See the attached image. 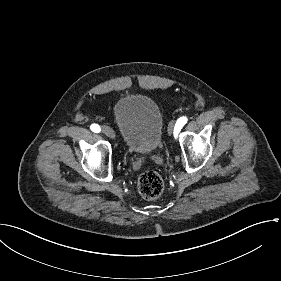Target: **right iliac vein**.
Returning <instances> with one entry per match:
<instances>
[{
	"mask_svg": "<svg viewBox=\"0 0 281 281\" xmlns=\"http://www.w3.org/2000/svg\"><path fill=\"white\" fill-rule=\"evenodd\" d=\"M102 132L109 138L114 139L115 138V133L112 128L109 126H102Z\"/></svg>",
	"mask_w": 281,
	"mask_h": 281,
	"instance_id": "right-iliac-vein-1",
	"label": "right iliac vein"
}]
</instances>
